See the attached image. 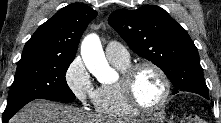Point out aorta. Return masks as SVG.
Returning a JSON list of instances; mask_svg holds the SVG:
<instances>
[{"label": "aorta", "instance_id": "aorta-1", "mask_svg": "<svg viewBox=\"0 0 221 123\" xmlns=\"http://www.w3.org/2000/svg\"><path fill=\"white\" fill-rule=\"evenodd\" d=\"M81 56L87 69L99 81H104L108 78L112 70L96 34H89L84 38L81 45Z\"/></svg>", "mask_w": 221, "mask_h": 123}]
</instances>
